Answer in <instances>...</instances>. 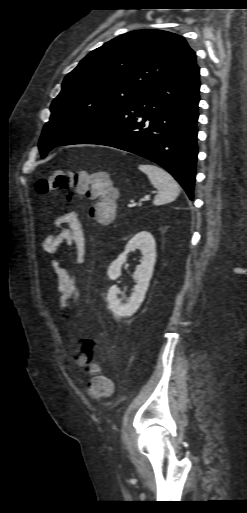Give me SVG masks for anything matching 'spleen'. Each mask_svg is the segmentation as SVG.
I'll use <instances>...</instances> for the list:
<instances>
[{"label":"spleen","mask_w":247,"mask_h":513,"mask_svg":"<svg viewBox=\"0 0 247 513\" xmlns=\"http://www.w3.org/2000/svg\"><path fill=\"white\" fill-rule=\"evenodd\" d=\"M138 168L148 176L152 185L158 190L153 201L154 205L172 202L179 196V185L168 172L151 164H140Z\"/></svg>","instance_id":"1"}]
</instances>
